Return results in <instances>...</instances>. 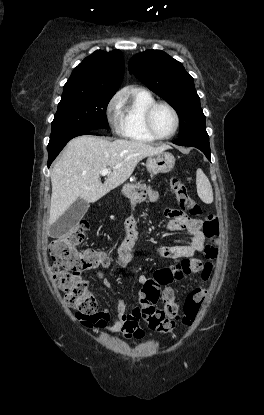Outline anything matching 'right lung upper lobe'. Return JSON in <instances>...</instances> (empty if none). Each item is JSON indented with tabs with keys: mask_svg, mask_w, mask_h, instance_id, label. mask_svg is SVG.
I'll use <instances>...</instances> for the list:
<instances>
[{
	"mask_svg": "<svg viewBox=\"0 0 264 415\" xmlns=\"http://www.w3.org/2000/svg\"><path fill=\"white\" fill-rule=\"evenodd\" d=\"M124 73V60L120 50L95 51L86 57L72 72L64 85L62 96L115 94Z\"/></svg>",
	"mask_w": 264,
	"mask_h": 415,
	"instance_id": "1",
	"label": "right lung upper lobe"
}]
</instances>
